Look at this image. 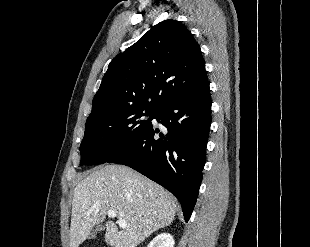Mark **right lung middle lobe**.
I'll list each match as a JSON object with an SVG mask.
<instances>
[{"label": "right lung middle lobe", "instance_id": "dd1d6c3e", "mask_svg": "<svg viewBox=\"0 0 310 247\" xmlns=\"http://www.w3.org/2000/svg\"><path fill=\"white\" fill-rule=\"evenodd\" d=\"M155 112L153 109L130 108L87 121L80 145V164H103L129 148L150 124ZM145 116L149 119L145 120Z\"/></svg>", "mask_w": 310, "mask_h": 247}]
</instances>
